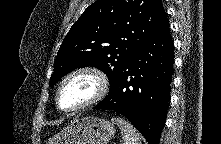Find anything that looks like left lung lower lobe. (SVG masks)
Here are the masks:
<instances>
[{
    "instance_id": "left-lung-lower-lobe-1",
    "label": "left lung lower lobe",
    "mask_w": 221,
    "mask_h": 144,
    "mask_svg": "<svg viewBox=\"0 0 221 144\" xmlns=\"http://www.w3.org/2000/svg\"><path fill=\"white\" fill-rule=\"evenodd\" d=\"M173 40L167 17L122 68L108 95L93 109L125 116L149 144H159L173 75Z\"/></svg>"
}]
</instances>
